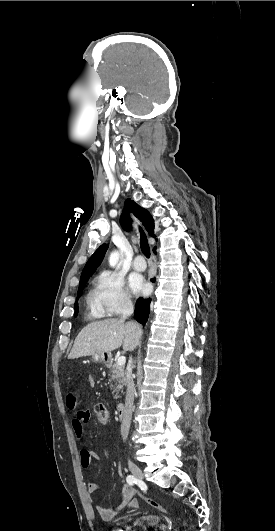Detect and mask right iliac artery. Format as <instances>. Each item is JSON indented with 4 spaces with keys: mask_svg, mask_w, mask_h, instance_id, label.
I'll list each match as a JSON object with an SVG mask.
<instances>
[{
    "mask_svg": "<svg viewBox=\"0 0 275 531\" xmlns=\"http://www.w3.org/2000/svg\"><path fill=\"white\" fill-rule=\"evenodd\" d=\"M126 480L129 485H133L136 479L133 476L129 475L127 476Z\"/></svg>",
    "mask_w": 275,
    "mask_h": 531,
    "instance_id": "82829eb1",
    "label": "right iliac artery"
}]
</instances>
